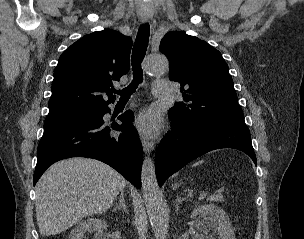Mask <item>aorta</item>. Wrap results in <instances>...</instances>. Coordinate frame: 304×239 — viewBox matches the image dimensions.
Listing matches in <instances>:
<instances>
[{
	"label": "aorta",
	"mask_w": 304,
	"mask_h": 239,
	"mask_svg": "<svg viewBox=\"0 0 304 239\" xmlns=\"http://www.w3.org/2000/svg\"><path fill=\"white\" fill-rule=\"evenodd\" d=\"M144 70L148 75H162L169 70V62L163 55H150L146 58ZM142 192L147 214L156 239H166L168 234V212L157 183L154 162L145 157L141 170Z\"/></svg>",
	"instance_id": "obj_1"
}]
</instances>
